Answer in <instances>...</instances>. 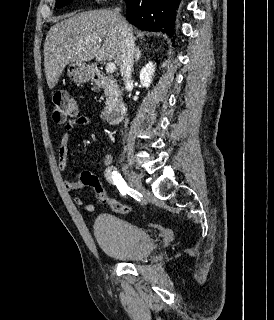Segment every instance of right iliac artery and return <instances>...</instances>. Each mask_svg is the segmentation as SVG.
I'll return each mask as SVG.
<instances>
[{"instance_id":"right-iliac-artery-1","label":"right iliac artery","mask_w":274,"mask_h":320,"mask_svg":"<svg viewBox=\"0 0 274 320\" xmlns=\"http://www.w3.org/2000/svg\"><path fill=\"white\" fill-rule=\"evenodd\" d=\"M112 179L122 195L129 194L136 200H141L142 195L138 191L128 187L122 176L117 171L112 172Z\"/></svg>"}]
</instances>
